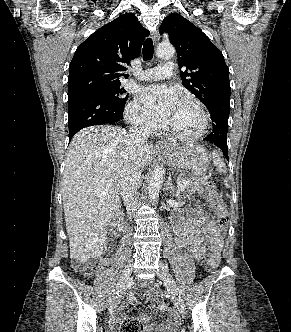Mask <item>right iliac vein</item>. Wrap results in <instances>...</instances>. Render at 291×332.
<instances>
[{
    "instance_id": "right-iliac-vein-1",
    "label": "right iliac vein",
    "mask_w": 291,
    "mask_h": 332,
    "mask_svg": "<svg viewBox=\"0 0 291 332\" xmlns=\"http://www.w3.org/2000/svg\"><path fill=\"white\" fill-rule=\"evenodd\" d=\"M131 272H132V264L128 263L125 266V268H124V270H123V272H122V274L119 278V281H118L117 286L115 288V291L113 293L112 299L109 303V308H108L109 313H112L114 311L117 303L119 302V299H120V297H121V295H122V293H123V291H124V289L127 285V282L130 278Z\"/></svg>"
}]
</instances>
